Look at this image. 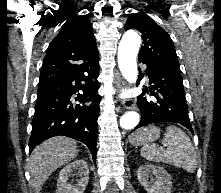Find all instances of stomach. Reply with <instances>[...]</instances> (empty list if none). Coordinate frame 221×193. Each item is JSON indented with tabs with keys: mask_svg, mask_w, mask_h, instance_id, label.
I'll list each match as a JSON object with an SVG mask.
<instances>
[{
	"mask_svg": "<svg viewBox=\"0 0 221 193\" xmlns=\"http://www.w3.org/2000/svg\"><path fill=\"white\" fill-rule=\"evenodd\" d=\"M160 136V129L156 126L141 128L130 136V143L134 146L147 145Z\"/></svg>",
	"mask_w": 221,
	"mask_h": 193,
	"instance_id": "0dacf381",
	"label": "stomach"
}]
</instances>
